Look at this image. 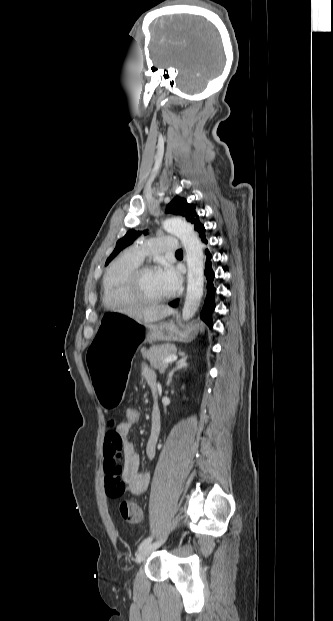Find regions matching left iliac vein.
<instances>
[{
    "mask_svg": "<svg viewBox=\"0 0 333 621\" xmlns=\"http://www.w3.org/2000/svg\"><path fill=\"white\" fill-rule=\"evenodd\" d=\"M165 541V537L161 538L157 542L151 543L144 547L136 556V563L140 564L143 560H145L154 550H156L163 542Z\"/></svg>",
    "mask_w": 333,
    "mask_h": 621,
    "instance_id": "1",
    "label": "left iliac vein"
}]
</instances>
